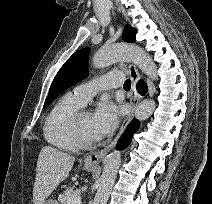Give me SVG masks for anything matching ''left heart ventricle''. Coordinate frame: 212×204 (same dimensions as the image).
<instances>
[{
	"label": "left heart ventricle",
	"instance_id": "obj_1",
	"mask_svg": "<svg viewBox=\"0 0 212 204\" xmlns=\"http://www.w3.org/2000/svg\"><path fill=\"white\" fill-rule=\"evenodd\" d=\"M81 130L88 140H97L94 134L93 113L87 112L81 118Z\"/></svg>",
	"mask_w": 212,
	"mask_h": 204
}]
</instances>
